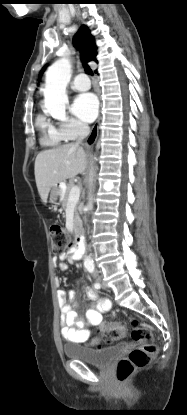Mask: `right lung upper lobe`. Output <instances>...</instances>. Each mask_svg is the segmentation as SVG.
<instances>
[{
    "label": "right lung upper lobe",
    "mask_w": 187,
    "mask_h": 415,
    "mask_svg": "<svg viewBox=\"0 0 187 415\" xmlns=\"http://www.w3.org/2000/svg\"><path fill=\"white\" fill-rule=\"evenodd\" d=\"M80 44L83 52L86 55L87 61H96V49L94 38L89 34L88 29L83 25L74 36V45Z\"/></svg>",
    "instance_id": "obj_1"
}]
</instances>
